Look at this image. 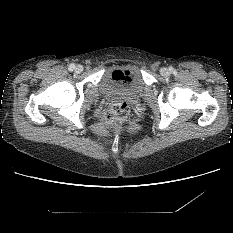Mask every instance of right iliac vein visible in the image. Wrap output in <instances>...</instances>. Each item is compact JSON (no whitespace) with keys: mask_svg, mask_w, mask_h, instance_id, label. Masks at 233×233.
Instances as JSON below:
<instances>
[{"mask_svg":"<svg viewBox=\"0 0 233 233\" xmlns=\"http://www.w3.org/2000/svg\"><path fill=\"white\" fill-rule=\"evenodd\" d=\"M75 71H76L77 73L82 72V71H83V66L77 65L76 68H75Z\"/></svg>","mask_w":233,"mask_h":233,"instance_id":"obj_1","label":"right iliac vein"}]
</instances>
